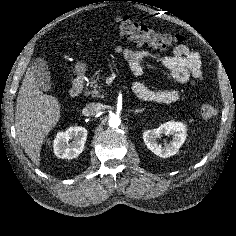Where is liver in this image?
Segmentation results:
<instances>
[{
    "instance_id": "liver-1",
    "label": "liver",
    "mask_w": 236,
    "mask_h": 236,
    "mask_svg": "<svg viewBox=\"0 0 236 236\" xmlns=\"http://www.w3.org/2000/svg\"><path fill=\"white\" fill-rule=\"evenodd\" d=\"M60 108L55 97L40 91L28 68L17 97L15 127L20 145L36 165L45 136L60 120Z\"/></svg>"
}]
</instances>
